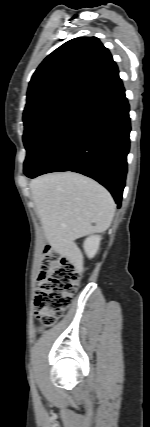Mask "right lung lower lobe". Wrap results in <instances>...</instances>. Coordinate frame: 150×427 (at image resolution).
<instances>
[{
	"label": "right lung lower lobe",
	"instance_id": "obj_1",
	"mask_svg": "<svg viewBox=\"0 0 150 427\" xmlns=\"http://www.w3.org/2000/svg\"><path fill=\"white\" fill-rule=\"evenodd\" d=\"M130 130L129 104L120 80L80 106L28 177L78 172L105 186L120 207Z\"/></svg>",
	"mask_w": 150,
	"mask_h": 427
}]
</instances>
